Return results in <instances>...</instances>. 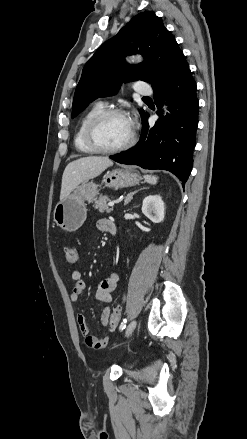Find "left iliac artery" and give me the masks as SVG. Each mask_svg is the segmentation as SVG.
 Returning <instances> with one entry per match:
<instances>
[{
	"mask_svg": "<svg viewBox=\"0 0 247 439\" xmlns=\"http://www.w3.org/2000/svg\"><path fill=\"white\" fill-rule=\"evenodd\" d=\"M126 323H127V319H124L123 322L121 323L120 327H119V329H120L121 331L125 329V327H126Z\"/></svg>",
	"mask_w": 247,
	"mask_h": 439,
	"instance_id": "44dca946",
	"label": "left iliac artery"
}]
</instances>
